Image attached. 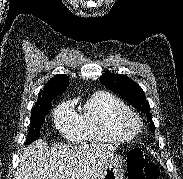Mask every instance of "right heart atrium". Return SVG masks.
Segmentation results:
<instances>
[{"instance_id": "right-heart-atrium-1", "label": "right heart atrium", "mask_w": 183, "mask_h": 179, "mask_svg": "<svg viewBox=\"0 0 183 179\" xmlns=\"http://www.w3.org/2000/svg\"><path fill=\"white\" fill-rule=\"evenodd\" d=\"M54 121L66 137L76 138L81 132L80 119L74 112L71 102L63 103L55 110Z\"/></svg>"}]
</instances>
